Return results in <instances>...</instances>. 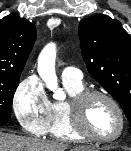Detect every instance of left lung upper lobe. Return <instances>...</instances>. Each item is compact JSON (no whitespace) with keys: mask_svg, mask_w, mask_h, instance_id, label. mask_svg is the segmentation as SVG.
<instances>
[{"mask_svg":"<svg viewBox=\"0 0 131 151\" xmlns=\"http://www.w3.org/2000/svg\"><path fill=\"white\" fill-rule=\"evenodd\" d=\"M83 59L91 76L116 99L131 123V37L103 14L79 24Z\"/></svg>","mask_w":131,"mask_h":151,"instance_id":"obj_1","label":"left lung upper lobe"}]
</instances>
